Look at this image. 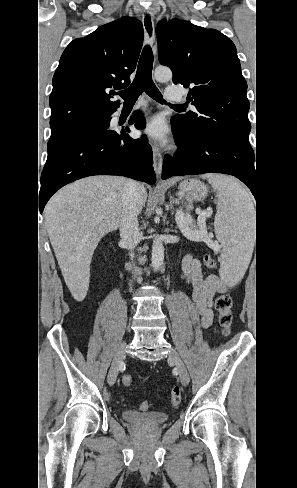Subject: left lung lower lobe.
<instances>
[{"label":"left lung lower lobe","instance_id":"obj_1","mask_svg":"<svg viewBox=\"0 0 297 488\" xmlns=\"http://www.w3.org/2000/svg\"><path fill=\"white\" fill-rule=\"evenodd\" d=\"M173 136L178 147L173 157L163 162L162 179L171 176L209 172L230 174L251 190L257 205V167L250 145L213 135L185 136L171 120Z\"/></svg>","mask_w":297,"mask_h":488}]
</instances>
